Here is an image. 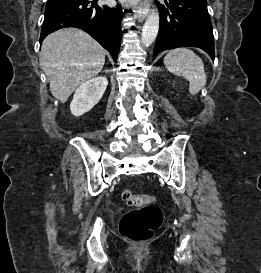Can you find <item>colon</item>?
Returning <instances> with one entry per match:
<instances>
[{
  "label": "colon",
  "instance_id": "1",
  "mask_svg": "<svg viewBox=\"0 0 261 273\" xmlns=\"http://www.w3.org/2000/svg\"><path fill=\"white\" fill-rule=\"evenodd\" d=\"M124 202L136 209L126 213L120 221L122 237L132 242L150 239L162 223L161 209L154 204L153 195H138L129 189L122 192Z\"/></svg>",
  "mask_w": 261,
  "mask_h": 273
}]
</instances>
